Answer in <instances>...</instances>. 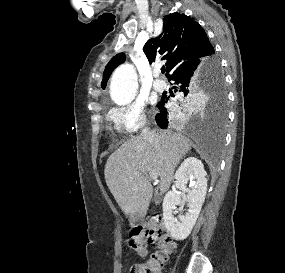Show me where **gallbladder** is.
Masks as SVG:
<instances>
[{"label": "gallbladder", "instance_id": "1", "mask_svg": "<svg viewBox=\"0 0 285 273\" xmlns=\"http://www.w3.org/2000/svg\"><path fill=\"white\" fill-rule=\"evenodd\" d=\"M161 200V194H159L157 191L155 192V195H154V201L155 203H159Z\"/></svg>", "mask_w": 285, "mask_h": 273}]
</instances>
